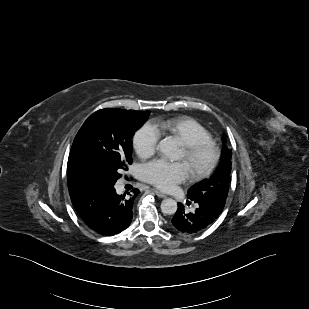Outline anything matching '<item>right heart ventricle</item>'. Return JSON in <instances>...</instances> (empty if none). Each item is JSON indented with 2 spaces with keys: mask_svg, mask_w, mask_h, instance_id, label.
Listing matches in <instances>:
<instances>
[{
  "mask_svg": "<svg viewBox=\"0 0 309 309\" xmlns=\"http://www.w3.org/2000/svg\"><path fill=\"white\" fill-rule=\"evenodd\" d=\"M158 126L163 131L179 138L183 144L212 139L211 133L200 122L190 117L162 120L158 122Z\"/></svg>",
  "mask_w": 309,
  "mask_h": 309,
  "instance_id": "obj_1",
  "label": "right heart ventricle"
}]
</instances>
